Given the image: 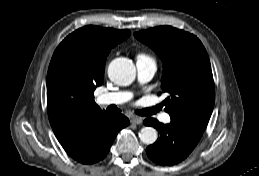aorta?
<instances>
[{
	"label": "aorta",
	"mask_w": 259,
	"mask_h": 176,
	"mask_svg": "<svg viewBox=\"0 0 259 176\" xmlns=\"http://www.w3.org/2000/svg\"><path fill=\"white\" fill-rule=\"evenodd\" d=\"M108 76L111 81L118 85H129L136 76L135 65L128 58H116L108 66ZM157 137V130L153 127H143L139 132L141 142L147 145L155 143Z\"/></svg>",
	"instance_id": "obj_1"
}]
</instances>
